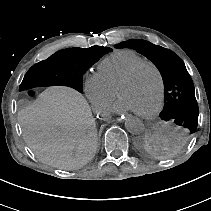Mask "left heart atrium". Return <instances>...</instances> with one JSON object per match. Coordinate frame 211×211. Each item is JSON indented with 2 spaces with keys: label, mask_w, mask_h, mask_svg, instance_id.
Returning <instances> with one entry per match:
<instances>
[{
  "label": "left heart atrium",
  "mask_w": 211,
  "mask_h": 211,
  "mask_svg": "<svg viewBox=\"0 0 211 211\" xmlns=\"http://www.w3.org/2000/svg\"><path fill=\"white\" fill-rule=\"evenodd\" d=\"M127 110H132V109L126 101L120 99L113 105L111 112L120 113Z\"/></svg>",
  "instance_id": "left-heart-atrium-1"
}]
</instances>
